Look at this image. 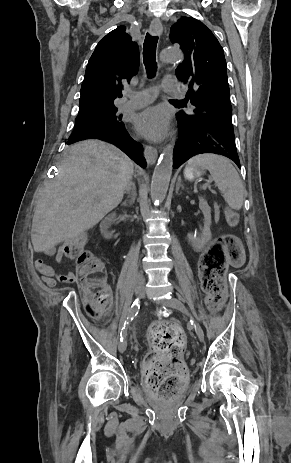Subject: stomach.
I'll list each match as a JSON object with an SVG mask.
<instances>
[{"instance_id": "0dacf381", "label": "stomach", "mask_w": 291, "mask_h": 463, "mask_svg": "<svg viewBox=\"0 0 291 463\" xmlns=\"http://www.w3.org/2000/svg\"><path fill=\"white\" fill-rule=\"evenodd\" d=\"M202 174V170L200 167L197 166H186L184 169V177L189 180L193 181L194 179L200 177Z\"/></svg>"}]
</instances>
